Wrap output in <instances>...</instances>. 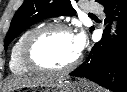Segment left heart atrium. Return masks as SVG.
<instances>
[{
  "label": "left heart atrium",
  "mask_w": 127,
  "mask_h": 92,
  "mask_svg": "<svg viewBox=\"0 0 127 92\" xmlns=\"http://www.w3.org/2000/svg\"><path fill=\"white\" fill-rule=\"evenodd\" d=\"M73 36H74L76 51L78 52V54H80L84 48V45H85L84 34L82 32H80V33L73 35Z\"/></svg>",
  "instance_id": "left-heart-atrium-1"
}]
</instances>
